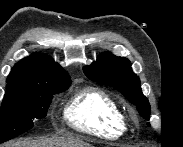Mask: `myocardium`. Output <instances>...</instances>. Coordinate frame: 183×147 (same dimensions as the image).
<instances>
[{
  "label": "myocardium",
  "mask_w": 183,
  "mask_h": 147,
  "mask_svg": "<svg viewBox=\"0 0 183 147\" xmlns=\"http://www.w3.org/2000/svg\"><path fill=\"white\" fill-rule=\"evenodd\" d=\"M122 120H123L124 123H126L127 118L122 115Z\"/></svg>",
  "instance_id": "myocardium-1"
}]
</instances>
